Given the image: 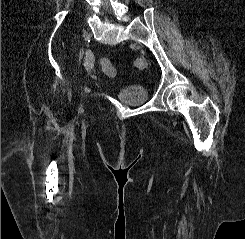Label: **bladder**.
<instances>
[{"label":"bladder","mask_w":245,"mask_h":239,"mask_svg":"<svg viewBox=\"0 0 245 239\" xmlns=\"http://www.w3.org/2000/svg\"><path fill=\"white\" fill-rule=\"evenodd\" d=\"M116 97L127 105L144 104L148 101L149 91L143 85H127L119 87Z\"/></svg>","instance_id":"31cf9c89"}]
</instances>
